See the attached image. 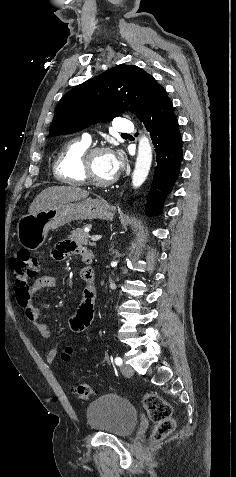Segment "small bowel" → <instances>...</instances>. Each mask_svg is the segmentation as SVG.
Segmentation results:
<instances>
[{
	"instance_id": "obj_1",
	"label": "small bowel",
	"mask_w": 236,
	"mask_h": 477,
	"mask_svg": "<svg viewBox=\"0 0 236 477\" xmlns=\"http://www.w3.org/2000/svg\"><path fill=\"white\" fill-rule=\"evenodd\" d=\"M75 254H80L86 264H89L87 261L90 258H93L92 254L88 250L70 240L60 241L55 245L52 251V255L55 260H64L67 257ZM81 275L83 280L89 285L84 291L83 299L77 309L76 314L70 321V327L75 333L86 334L85 341L89 343L91 339L90 331L95 317L96 292L91 282L94 278V272L92 269L86 266L82 269ZM58 286L59 280L56 277L42 276L34 282L31 291L17 296V300L20 306L25 310L26 316L31 322L34 323L40 335L45 339H52L53 332L50 326L41 320L43 310L42 307L33 299V294L42 289H54ZM58 354L59 349L57 347H53L47 354V361L49 363L55 362Z\"/></svg>"
}]
</instances>
